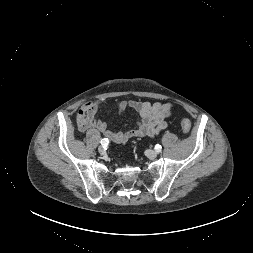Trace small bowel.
I'll return each mask as SVG.
<instances>
[{"mask_svg":"<svg viewBox=\"0 0 253 253\" xmlns=\"http://www.w3.org/2000/svg\"><path fill=\"white\" fill-rule=\"evenodd\" d=\"M101 100L86 102L78 111L76 116L77 127L80 132L89 129H96L107 139L117 144H125L133 137H154L161 130L167 127L166 119L171 115L172 105L170 103L149 102V101H121L117 103L119 114L127 109L136 111L139 121L136 126L126 131H112L105 122L96 118V113L102 105Z\"/></svg>","mask_w":253,"mask_h":253,"instance_id":"obj_1","label":"small bowel"}]
</instances>
